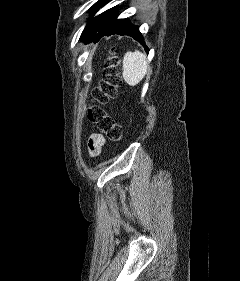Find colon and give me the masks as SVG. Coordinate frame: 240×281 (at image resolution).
<instances>
[{"instance_id": "obj_1", "label": "colon", "mask_w": 240, "mask_h": 281, "mask_svg": "<svg viewBox=\"0 0 240 281\" xmlns=\"http://www.w3.org/2000/svg\"><path fill=\"white\" fill-rule=\"evenodd\" d=\"M120 65L118 57L112 54L104 64L102 78L93 90L94 104L87 110V118L94 123L110 140L120 141L122 139V127L103 109V105L114 99L121 85Z\"/></svg>"}]
</instances>
